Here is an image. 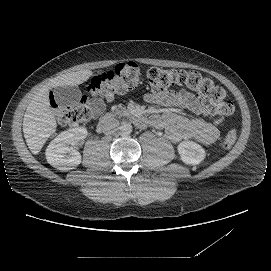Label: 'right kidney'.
I'll return each instance as SVG.
<instances>
[{"mask_svg": "<svg viewBox=\"0 0 271 271\" xmlns=\"http://www.w3.org/2000/svg\"><path fill=\"white\" fill-rule=\"evenodd\" d=\"M87 134V129L84 127L61 132L46 149L47 162L62 171L77 167L81 163V155L73 146L85 139Z\"/></svg>", "mask_w": 271, "mask_h": 271, "instance_id": "right-kidney-1", "label": "right kidney"}]
</instances>
